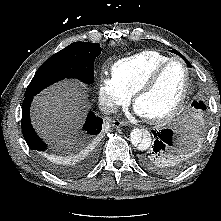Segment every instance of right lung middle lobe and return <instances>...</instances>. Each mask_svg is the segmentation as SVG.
Wrapping results in <instances>:
<instances>
[{"label": "right lung middle lobe", "instance_id": "obj_1", "mask_svg": "<svg viewBox=\"0 0 221 221\" xmlns=\"http://www.w3.org/2000/svg\"><path fill=\"white\" fill-rule=\"evenodd\" d=\"M100 53V44L88 42L70 44L40 66L24 96L33 97L47 86L64 78H78L86 84L93 83L94 60Z\"/></svg>", "mask_w": 221, "mask_h": 221}]
</instances>
